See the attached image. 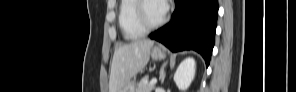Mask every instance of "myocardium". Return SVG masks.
<instances>
[{
    "label": "myocardium",
    "mask_w": 296,
    "mask_h": 92,
    "mask_svg": "<svg viewBox=\"0 0 296 92\" xmlns=\"http://www.w3.org/2000/svg\"><path fill=\"white\" fill-rule=\"evenodd\" d=\"M146 0H140L137 2L136 10H135V19L137 24L144 30V31H151L154 29L159 28L162 26L166 21L165 14L163 17L156 23H149L145 16V6L147 4Z\"/></svg>",
    "instance_id": "f54148a6"
}]
</instances>
